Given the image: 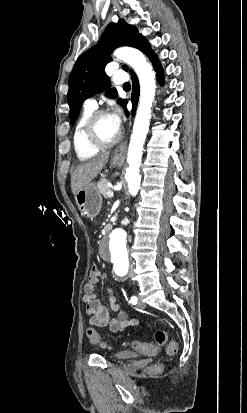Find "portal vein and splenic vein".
<instances>
[{
    "instance_id": "18ae733b",
    "label": "portal vein and splenic vein",
    "mask_w": 247,
    "mask_h": 413,
    "mask_svg": "<svg viewBox=\"0 0 247 413\" xmlns=\"http://www.w3.org/2000/svg\"><path fill=\"white\" fill-rule=\"evenodd\" d=\"M107 196H109V198H112V196H114L112 190H108Z\"/></svg>"
}]
</instances>
